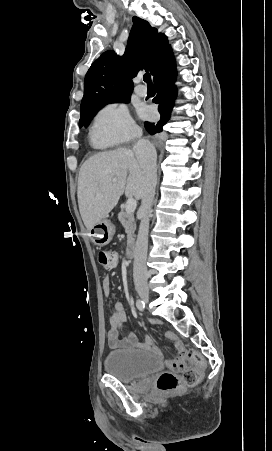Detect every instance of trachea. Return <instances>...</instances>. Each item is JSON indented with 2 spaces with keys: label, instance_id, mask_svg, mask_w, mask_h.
Segmentation results:
<instances>
[{
  "label": "trachea",
  "instance_id": "obj_1",
  "mask_svg": "<svg viewBox=\"0 0 272 451\" xmlns=\"http://www.w3.org/2000/svg\"><path fill=\"white\" fill-rule=\"evenodd\" d=\"M143 79L148 85H152L150 73H145Z\"/></svg>",
  "mask_w": 272,
  "mask_h": 451
}]
</instances>
